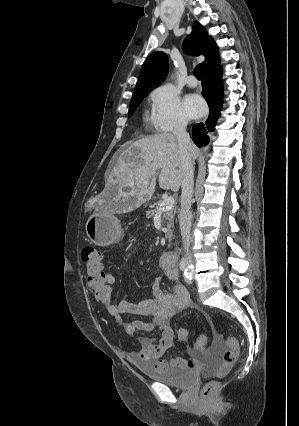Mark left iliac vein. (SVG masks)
<instances>
[{
    "instance_id": "4c4485c4",
    "label": "left iliac vein",
    "mask_w": 299,
    "mask_h": 426,
    "mask_svg": "<svg viewBox=\"0 0 299 426\" xmlns=\"http://www.w3.org/2000/svg\"><path fill=\"white\" fill-rule=\"evenodd\" d=\"M189 269H190V267L188 266L186 271H188ZM185 281L189 284L192 283L191 279H189L188 277H185Z\"/></svg>"
}]
</instances>
